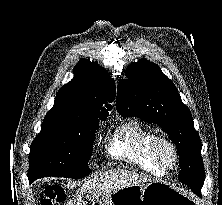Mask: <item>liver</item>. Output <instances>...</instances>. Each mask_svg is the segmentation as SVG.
<instances>
[{
  "label": "liver",
  "instance_id": "liver-1",
  "mask_svg": "<svg viewBox=\"0 0 222 205\" xmlns=\"http://www.w3.org/2000/svg\"><path fill=\"white\" fill-rule=\"evenodd\" d=\"M148 181L151 179L129 170H110L86 180L67 205H85L82 197L86 193H90L89 198L94 201L121 188L140 185Z\"/></svg>",
  "mask_w": 222,
  "mask_h": 205
}]
</instances>
